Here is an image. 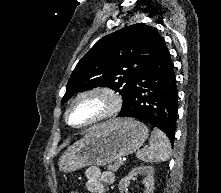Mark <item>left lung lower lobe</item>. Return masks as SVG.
Returning <instances> with one entry per match:
<instances>
[{
	"label": "left lung lower lobe",
	"instance_id": "1",
	"mask_svg": "<svg viewBox=\"0 0 221 193\" xmlns=\"http://www.w3.org/2000/svg\"><path fill=\"white\" fill-rule=\"evenodd\" d=\"M177 109L174 66L169 50L165 48L136 77L118 116L137 118L156 126L166 133L173 145Z\"/></svg>",
	"mask_w": 221,
	"mask_h": 193
}]
</instances>
